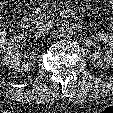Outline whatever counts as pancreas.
<instances>
[{"label": "pancreas", "instance_id": "1", "mask_svg": "<svg viewBox=\"0 0 113 113\" xmlns=\"http://www.w3.org/2000/svg\"><path fill=\"white\" fill-rule=\"evenodd\" d=\"M32 18L35 23H42L43 21L48 20L50 16L42 14L41 9L38 8L32 13Z\"/></svg>", "mask_w": 113, "mask_h": 113}]
</instances>
